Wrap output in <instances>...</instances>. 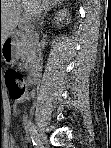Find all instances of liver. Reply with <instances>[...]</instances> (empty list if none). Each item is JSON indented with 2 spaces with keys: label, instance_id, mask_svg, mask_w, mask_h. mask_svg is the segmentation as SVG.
Here are the masks:
<instances>
[{
  "label": "liver",
  "instance_id": "1",
  "mask_svg": "<svg viewBox=\"0 0 111 148\" xmlns=\"http://www.w3.org/2000/svg\"><path fill=\"white\" fill-rule=\"evenodd\" d=\"M45 1L53 0H2L1 1V42L7 40L12 31L21 20L22 8H24V18L31 19L35 11L45 4Z\"/></svg>",
  "mask_w": 111,
  "mask_h": 148
}]
</instances>
